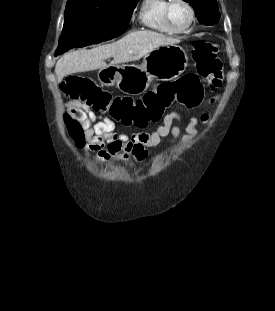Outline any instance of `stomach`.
<instances>
[{
  "label": "stomach",
  "instance_id": "stomach-1",
  "mask_svg": "<svg viewBox=\"0 0 275 311\" xmlns=\"http://www.w3.org/2000/svg\"><path fill=\"white\" fill-rule=\"evenodd\" d=\"M187 63V53L181 46L162 45L145 55L141 65H111L100 69L98 79L103 85H115L124 94L138 95L154 78L164 81L177 78Z\"/></svg>",
  "mask_w": 275,
  "mask_h": 311
}]
</instances>
